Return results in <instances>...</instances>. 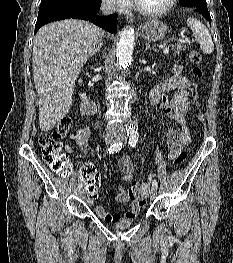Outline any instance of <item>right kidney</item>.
<instances>
[{"mask_svg":"<svg viewBox=\"0 0 233 263\" xmlns=\"http://www.w3.org/2000/svg\"><path fill=\"white\" fill-rule=\"evenodd\" d=\"M78 82H79V83H81V82H82V80H81V79H79V80H78ZM79 95H80V97H81L82 99H86V96H85V94H82V93H80Z\"/></svg>","mask_w":233,"mask_h":263,"instance_id":"right-kidney-1","label":"right kidney"}]
</instances>
